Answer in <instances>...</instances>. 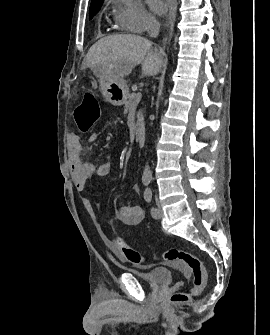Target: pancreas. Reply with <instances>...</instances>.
<instances>
[{
    "mask_svg": "<svg viewBox=\"0 0 270 335\" xmlns=\"http://www.w3.org/2000/svg\"><path fill=\"white\" fill-rule=\"evenodd\" d=\"M133 98H134L133 94H129L128 100L127 102H125L124 106L125 110H128V108H131V106H133ZM142 120H143L142 116H138V124H142Z\"/></svg>",
    "mask_w": 270,
    "mask_h": 335,
    "instance_id": "pancreas-1",
    "label": "pancreas"
}]
</instances>
